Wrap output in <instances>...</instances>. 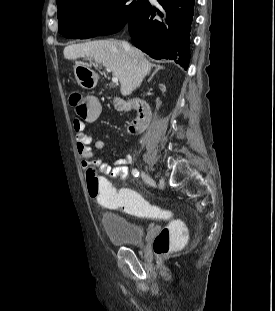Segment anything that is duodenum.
<instances>
[{"instance_id":"410a0bca","label":"duodenum","mask_w":275,"mask_h":311,"mask_svg":"<svg viewBox=\"0 0 275 311\" xmlns=\"http://www.w3.org/2000/svg\"><path fill=\"white\" fill-rule=\"evenodd\" d=\"M117 103L123 109H135L137 111L136 118L128 125V131L132 134L140 133L146 129L151 118V108L148 103L134 99L124 100L117 98Z\"/></svg>"}]
</instances>
